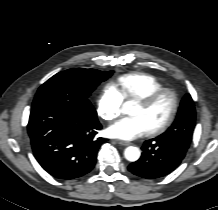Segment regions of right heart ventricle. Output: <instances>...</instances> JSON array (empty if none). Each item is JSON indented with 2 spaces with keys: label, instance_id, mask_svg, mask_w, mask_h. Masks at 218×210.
<instances>
[{
  "label": "right heart ventricle",
  "instance_id": "e07e8e85",
  "mask_svg": "<svg viewBox=\"0 0 218 210\" xmlns=\"http://www.w3.org/2000/svg\"><path fill=\"white\" fill-rule=\"evenodd\" d=\"M122 99L129 100L140 98L164 88V84L154 75L133 72L119 76L116 81L112 84Z\"/></svg>",
  "mask_w": 218,
  "mask_h": 210
}]
</instances>
